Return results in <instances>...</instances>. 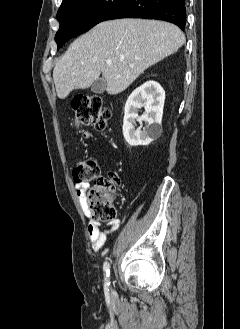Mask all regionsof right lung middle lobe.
<instances>
[{
	"label": "right lung middle lobe",
	"mask_w": 240,
	"mask_h": 329,
	"mask_svg": "<svg viewBox=\"0 0 240 329\" xmlns=\"http://www.w3.org/2000/svg\"><path fill=\"white\" fill-rule=\"evenodd\" d=\"M123 0H72L59 8L60 28L55 36L59 47L70 38L88 31L101 22Z\"/></svg>",
	"instance_id": "1"
}]
</instances>
